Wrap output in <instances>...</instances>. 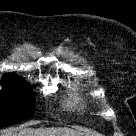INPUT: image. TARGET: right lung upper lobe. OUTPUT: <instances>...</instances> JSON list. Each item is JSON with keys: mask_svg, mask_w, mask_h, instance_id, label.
Instances as JSON below:
<instances>
[{"mask_svg": "<svg viewBox=\"0 0 136 136\" xmlns=\"http://www.w3.org/2000/svg\"><path fill=\"white\" fill-rule=\"evenodd\" d=\"M19 79H22V78H20L19 76L15 74L7 73L3 75L2 82H11L14 80H19Z\"/></svg>", "mask_w": 136, "mask_h": 136, "instance_id": "cb5924a9", "label": "right lung upper lobe"}]
</instances>
